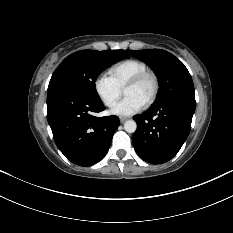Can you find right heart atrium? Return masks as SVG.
<instances>
[{"mask_svg": "<svg viewBox=\"0 0 233 233\" xmlns=\"http://www.w3.org/2000/svg\"><path fill=\"white\" fill-rule=\"evenodd\" d=\"M93 87L96 95L106 107H113L122 94V90L107 74H99L93 82Z\"/></svg>", "mask_w": 233, "mask_h": 233, "instance_id": "obj_1", "label": "right heart atrium"}]
</instances>
